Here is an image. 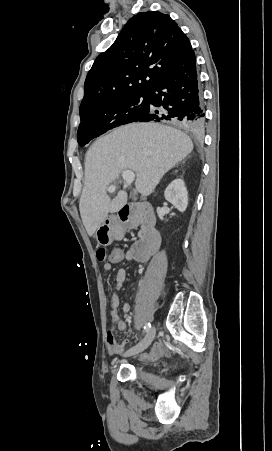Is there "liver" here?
Here are the masks:
<instances>
[{
  "instance_id": "obj_1",
  "label": "liver",
  "mask_w": 272,
  "mask_h": 451,
  "mask_svg": "<svg viewBox=\"0 0 272 451\" xmlns=\"http://www.w3.org/2000/svg\"><path fill=\"white\" fill-rule=\"evenodd\" d=\"M193 150V142L181 130L156 122L127 124L98 138L85 158V182L79 202L82 222L93 235L108 214L127 204V192L109 198L106 188L123 170L136 174V190L149 196L166 172Z\"/></svg>"
}]
</instances>
